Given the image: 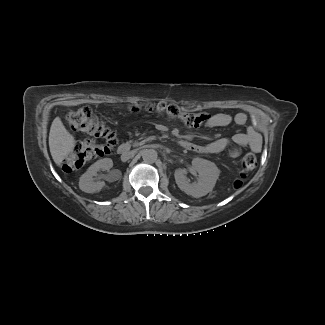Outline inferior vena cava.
<instances>
[{"label": "inferior vena cava", "instance_id": "obj_1", "mask_svg": "<svg viewBox=\"0 0 325 325\" xmlns=\"http://www.w3.org/2000/svg\"><path fill=\"white\" fill-rule=\"evenodd\" d=\"M131 156H132V153H130V152L125 153V154H122V156H121V160H122V161H126V160L130 159Z\"/></svg>", "mask_w": 325, "mask_h": 325}]
</instances>
